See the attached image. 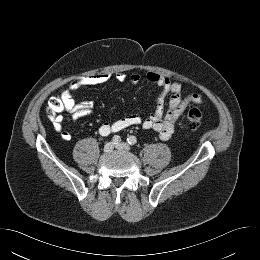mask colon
I'll return each instance as SVG.
<instances>
[{
	"mask_svg": "<svg viewBox=\"0 0 260 260\" xmlns=\"http://www.w3.org/2000/svg\"><path fill=\"white\" fill-rule=\"evenodd\" d=\"M64 102L61 97H51L46 106V113L49 119L53 120L63 110ZM187 124L191 129L200 127L203 121V113L199 108L190 107L186 113Z\"/></svg>",
	"mask_w": 260,
	"mask_h": 260,
	"instance_id": "5ec220e1",
	"label": "colon"
}]
</instances>
